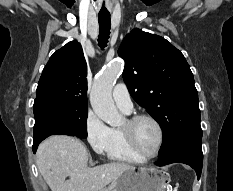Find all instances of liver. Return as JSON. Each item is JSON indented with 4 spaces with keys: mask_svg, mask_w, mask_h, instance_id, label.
<instances>
[{
    "mask_svg": "<svg viewBox=\"0 0 233 191\" xmlns=\"http://www.w3.org/2000/svg\"><path fill=\"white\" fill-rule=\"evenodd\" d=\"M36 157L38 170L51 191H101L131 167L111 162L91 168L86 146L66 135L44 140Z\"/></svg>",
    "mask_w": 233,
    "mask_h": 191,
    "instance_id": "6515ba94",
    "label": "liver"
}]
</instances>
